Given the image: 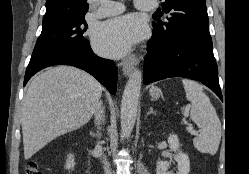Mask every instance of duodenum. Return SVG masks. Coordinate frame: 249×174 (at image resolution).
Masks as SVG:
<instances>
[{"instance_id": "410a0bca", "label": "duodenum", "mask_w": 249, "mask_h": 174, "mask_svg": "<svg viewBox=\"0 0 249 174\" xmlns=\"http://www.w3.org/2000/svg\"><path fill=\"white\" fill-rule=\"evenodd\" d=\"M84 174H91L92 173V170L85 167L84 170H83Z\"/></svg>"}]
</instances>
